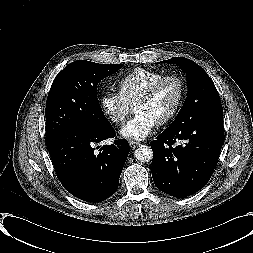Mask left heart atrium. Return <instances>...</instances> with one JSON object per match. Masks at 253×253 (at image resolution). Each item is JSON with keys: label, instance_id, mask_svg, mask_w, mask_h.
<instances>
[{"label": "left heart atrium", "instance_id": "obj_1", "mask_svg": "<svg viewBox=\"0 0 253 253\" xmlns=\"http://www.w3.org/2000/svg\"><path fill=\"white\" fill-rule=\"evenodd\" d=\"M157 122L150 116L137 113L121 129L123 137L135 140H142L149 136L156 127Z\"/></svg>", "mask_w": 253, "mask_h": 253}]
</instances>
